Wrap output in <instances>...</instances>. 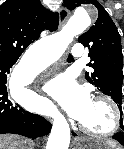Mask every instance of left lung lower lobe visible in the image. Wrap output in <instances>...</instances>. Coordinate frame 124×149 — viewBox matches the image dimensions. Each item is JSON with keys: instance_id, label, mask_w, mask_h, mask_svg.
Listing matches in <instances>:
<instances>
[{"instance_id": "0a47b994", "label": "left lung lower lobe", "mask_w": 124, "mask_h": 149, "mask_svg": "<svg viewBox=\"0 0 124 149\" xmlns=\"http://www.w3.org/2000/svg\"><path fill=\"white\" fill-rule=\"evenodd\" d=\"M73 135H75V134L73 133ZM113 139L119 141L122 145L124 144V136H123L122 132H119V133L115 134L113 136Z\"/></svg>"}]
</instances>
